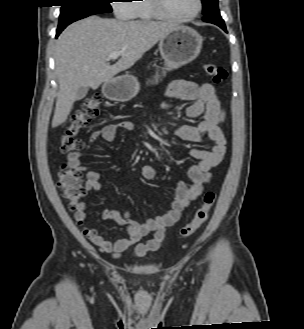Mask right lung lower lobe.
Here are the masks:
<instances>
[{
  "label": "right lung lower lobe",
  "instance_id": "1",
  "mask_svg": "<svg viewBox=\"0 0 304 329\" xmlns=\"http://www.w3.org/2000/svg\"><path fill=\"white\" fill-rule=\"evenodd\" d=\"M64 28H65V27H62V28H58V29H57L56 37H58V35L62 32V30H63Z\"/></svg>",
  "mask_w": 304,
  "mask_h": 329
}]
</instances>
